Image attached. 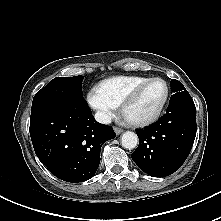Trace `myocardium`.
<instances>
[{
  "label": "myocardium",
  "instance_id": "obj_1",
  "mask_svg": "<svg viewBox=\"0 0 221 221\" xmlns=\"http://www.w3.org/2000/svg\"><path fill=\"white\" fill-rule=\"evenodd\" d=\"M154 82H160L164 85L165 87V95L164 98L161 102V104L159 105V107L157 108V110L150 116L143 118V119H138V120H133L130 119V122L133 123L136 126L139 127H146L149 126L151 124H154L155 122H157L159 120V118L161 117L167 102L169 100V96H170V89L169 86L167 84V82L162 79V78H150L148 80H146L145 82L141 83L140 85H138L123 101L122 103V112L125 116H127V112L129 107L135 103L137 101V99L139 98L141 92L143 91L144 88H146L148 85L154 83Z\"/></svg>",
  "mask_w": 221,
  "mask_h": 221
}]
</instances>
